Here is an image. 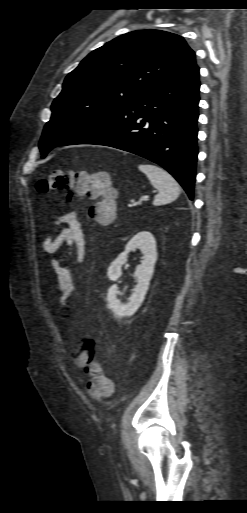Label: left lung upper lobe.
Listing matches in <instances>:
<instances>
[{
    "label": "left lung upper lobe",
    "mask_w": 247,
    "mask_h": 513,
    "mask_svg": "<svg viewBox=\"0 0 247 513\" xmlns=\"http://www.w3.org/2000/svg\"><path fill=\"white\" fill-rule=\"evenodd\" d=\"M194 57L182 37L161 30L129 32L94 50L52 103L39 143L42 157L168 81Z\"/></svg>",
    "instance_id": "5c2ea615"
}]
</instances>
